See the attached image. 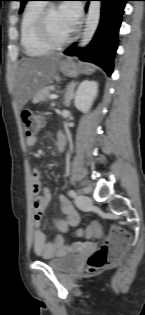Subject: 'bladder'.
Returning <instances> with one entry per match:
<instances>
[{"instance_id":"bladder-1","label":"bladder","mask_w":145,"mask_h":315,"mask_svg":"<svg viewBox=\"0 0 145 315\" xmlns=\"http://www.w3.org/2000/svg\"><path fill=\"white\" fill-rule=\"evenodd\" d=\"M44 262L49 265L56 272H67L79 263L78 256H72V254L64 255L58 258L47 259L44 258Z\"/></svg>"}]
</instances>
